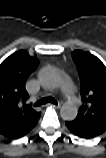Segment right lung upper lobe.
<instances>
[{"label":"right lung upper lobe","instance_id":"cb5924a9","mask_svg":"<svg viewBox=\"0 0 106 158\" xmlns=\"http://www.w3.org/2000/svg\"><path fill=\"white\" fill-rule=\"evenodd\" d=\"M38 65L36 55L20 50L0 65V134L19 138L32 130L41 113L27 104L25 83Z\"/></svg>","mask_w":106,"mask_h":158}]
</instances>
